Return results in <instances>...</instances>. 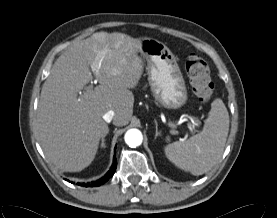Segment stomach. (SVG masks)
Wrapping results in <instances>:
<instances>
[{"mask_svg":"<svg viewBox=\"0 0 277 218\" xmlns=\"http://www.w3.org/2000/svg\"><path fill=\"white\" fill-rule=\"evenodd\" d=\"M140 54L147 61L148 82L160 107L180 109L188 99L187 89L177 60L162 42L143 38Z\"/></svg>","mask_w":277,"mask_h":218,"instance_id":"stomach-1","label":"stomach"}]
</instances>
